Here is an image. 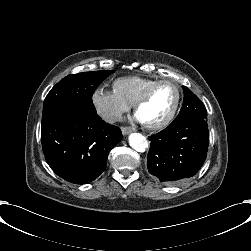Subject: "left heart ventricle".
I'll use <instances>...</instances> for the list:
<instances>
[{"mask_svg": "<svg viewBox=\"0 0 251 251\" xmlns=\"http://www.w3.org/2000/svg\"><path fill=\"white\" fill-rule=\"evenodd\" d=\"M178 97L175 84L164 82L151 94L148 101L139 109L142 121L149 124L164 120L174 108Z\"/></svg>", "mask_w": 251, "mask_h": 251, "instance_id": "1", "label": "left heart ventricle"}]
</instances>
